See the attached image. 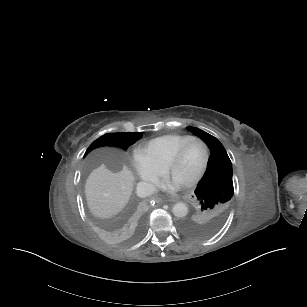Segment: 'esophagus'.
Returning a JSON list of instances; mask_svg holds the SVG:
<instances>
[{"label": "esophagus", "mask_w": 307, "mask_h": 307, "mask_svg": "<svg viewBox=\"0 0 307 307\" xmlns=\"http://www.w3.org/2000/svg\"><path fill=\"white\" fill-rule=\"evenodd\" d=\"M155 202H156L157 205H162L164 203V200L162 198H160V197H157L155 199Z\"/></svg>", "instance_id": "esophagus-1"}]
</instances>
